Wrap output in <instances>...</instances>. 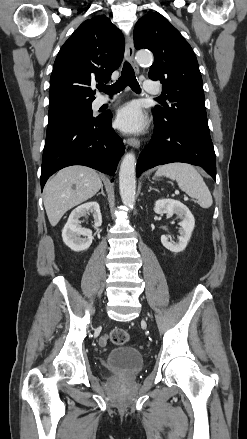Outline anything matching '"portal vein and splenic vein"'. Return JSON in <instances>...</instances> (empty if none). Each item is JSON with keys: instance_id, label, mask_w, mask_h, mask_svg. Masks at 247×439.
I'll use <instances>...</instances> for the list:
<instances>
[{"instance_id": "18ae733b", "label": "portal vein and splenic vein", "mask_w": 247, "mask_h": 439, "mask_svg": "<svg viewBox=\"0 0 247 439\" xmlns=\"http://www.w3.org/2000/svg\"><path fill=\"white\" fill-rule=\"evenodd\" d=\"M189 198L188 197H184V200H188Z\"/></svg>"}]
</instances>
